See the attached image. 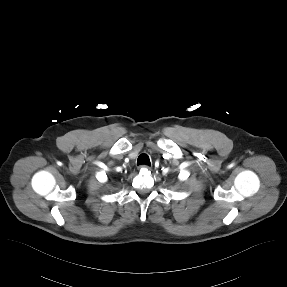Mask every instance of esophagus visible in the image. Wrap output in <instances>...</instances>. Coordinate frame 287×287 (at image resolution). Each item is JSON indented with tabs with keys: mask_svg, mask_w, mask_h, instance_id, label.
Returning a JSON list of instances; mask_svg holds the SVG:
<instances>
[{
	"mask_svg": "<svg viewBox=\"0 0 287 287\" xmlns=\"http://www.w3.org/2000/svg\"><path fill=\"white\" fill-rule=\"evenodd\" d=\"M139 169H151V166L143 164L138 167Z\"/></svg>",
	"mask_w": 287,
	"mask_h": 287,
	"instance_id": "obj_1",
	"label": "esophagus"
}]
</instances>
